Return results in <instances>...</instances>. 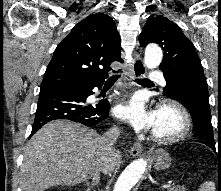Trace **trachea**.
Wrapping results in <instances>:
<instances>
[{
    "label": "trachea",
    "mask_w": 221,
    "mask_h": 191,
    "mask_svg": "<svg viewBox=\"0 0 221 191\" xmlns=\"http://www.w3.org/2000/svg\"><path fill=\"white\" fill-rule=\"evenodd\" d=\"M118 78H119V75H113L110 78H108V80L106 81V84H114ZM137 82L140 84H152V82L146 78L137 80Z\"/></svg>",
    "instance_id": "3493384b"
}]
</instances>
